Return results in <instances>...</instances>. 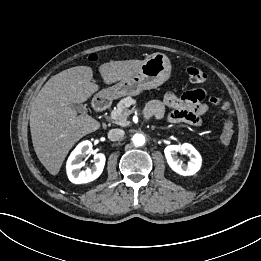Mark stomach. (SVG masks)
Instances as JSON below:
<instances>
[{"label":"stomach","mask_w":261,"mask_h":261,"mask_svg":"<svg viewBox=\"0 0 261 261\" xmlns=\"http://www.w3.org/2000/svg\"><path fill=\"white\" fill-rule=\"evenodd\" d=\"M171 75V63L163 53H153L144 60L138 71L132 76L120 80L115 85L101 91L109 99L123 96H136L143 90L157 88L165 83Z\"/></svg>","instance_id":"obj_1"}]
</instances>
